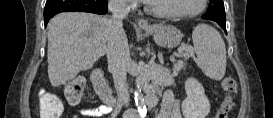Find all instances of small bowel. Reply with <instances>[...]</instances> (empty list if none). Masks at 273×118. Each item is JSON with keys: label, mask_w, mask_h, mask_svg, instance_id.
I'll return each instance as SVG.
<instances>
[{"label": "small bowel", "mask_w": 273, "mask_h": 118, "mask_svg": "<svg viewBox=\"0 0 273 118\" xmlns=\"http://www.w3.org/2000/svg\"><path fill=\"white\" fill-rule=\"evenodd\" d=\"M110 111L111 109L106 106H97L82 109L81 114L87 117H100L110 113ZM157 118H182L179 103L170 89H167L163 94L161 107L157 112Z\"/></svg>", "instance_id": "small-bowel-1"}]
</instances>
